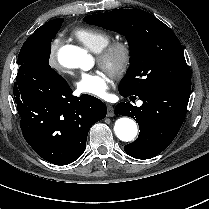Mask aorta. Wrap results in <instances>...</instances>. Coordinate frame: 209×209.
Wrapping results in <instances>:
<instances>
[{
	"label": "aorta",
	"instance_id": "1",
	"mask_svg": "<svg viewBox=\"0 0 209 209\" xmlns=\"http://www.w3.org/2000/svg\"><path fill=\"white\" fill-rule=\"evenodd\" d=\"M59 63L70 69L81 68L89 70L93 66V58L83 48L74 45H65L58 52ZM116 136L125 142L132 141L138 132L136 122L129 117H121L114 125Z\"/></svg>",
	"mask_w": 209,
	"mask_h": 209
}]
</instances>
